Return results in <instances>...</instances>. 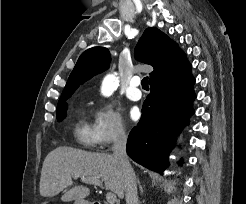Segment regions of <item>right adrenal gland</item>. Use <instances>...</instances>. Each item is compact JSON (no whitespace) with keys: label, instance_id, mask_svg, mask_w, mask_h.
I'll return each instance as SVG.
<instances>
[{"label":"right adrenal gland","instance_id":"obj_1","mask_svg":"<svg viewBox=\"0 0 246 204\" xmlns=\"http://www.w3.org/2000/svg\"><path fill=\"white\" fill-rule=\"evenodd\" d=\"M137 183H138V186H139L140 192H141V193H143V188H142V186H141L140 181H139V179H138V178H137Z\"/></svg>","mask_w":246,"mask_h":204}]
</instances>
